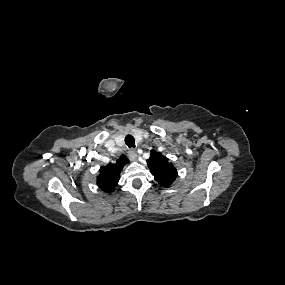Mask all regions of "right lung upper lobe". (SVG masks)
Listing matches in <instances>:
<instances>
[{
	"label": "right lung upper lobe",
	"instance_id": "cb5924a9",
	"mask_svg": "<svg viewBox=\"0 0 285 285\" xmlns=\"http://www.w3.org/2000/svg\"><path fill=\"white\" fill-rule=\"evenodd\" d=\"M128 163V159L121 156L115 164H108L100 168V175L97 177V185L105 192H111L118 184L122 168Z\"/></svg>",
	"mask_w": 285,
	"mask_h": 285
}]
</instances>
